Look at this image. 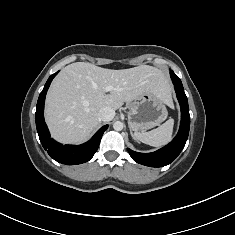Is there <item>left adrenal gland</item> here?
<instances>
[{"instance_id":"obj_1","label":"left adrenal gland","mask_w":235,"mask_h":235,"mask_svg":"<svg viewBox=\"0 0 235 235\" xmlns=\"http://www.w3.org/2000/svg\"><path fill=\"white\" fill-rule=\"evenodd\" d=\"M130 134H131L132 138H133L134 140H136L131 130H130Z\"/></svg>"}]
</instances>
